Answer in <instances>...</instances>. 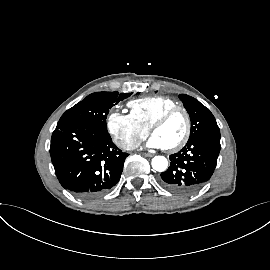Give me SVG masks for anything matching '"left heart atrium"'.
<instances>
[{"label":"left heart atrium","mask_w":270,"mask_h":270,"mask_svg":"<svg viewBox=\"0 0 270 270\" xmlns=\"http://www.w3.org/2000/svg\"><path fill=\"white\" fill-rule=\"evenodd\" d=\"M147 146L150 148H164L160 140L154 135L149 139Z\"/></svg>","instance_id":"39dd6f15"}]
</instances>
